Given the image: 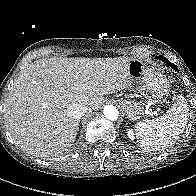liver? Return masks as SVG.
Here are the masks:
<instances>
[{
  "label": "liver",
  "instance_id": "6515ba94",
  "mask_svg": "<svg viewBox=\"0 0 196 196\" xmlns=\"http://www.w3.org/2000/svg\"><path fill=\"white\" fill-rule=\"evenodd\" d=\"M129 59L48 58L23 70L9 93L4 120L15 143L31 155L46 157L69 149L78 120L68 115L74 103L88 111L104 95L128 88Z\"/></svg>",
  "mask_w": 196,
  "mask_h": 196
}]
</instances>
